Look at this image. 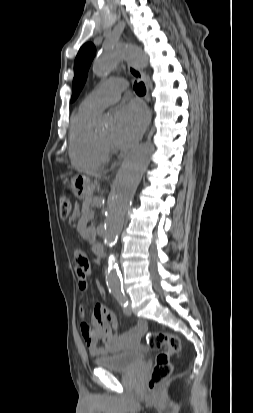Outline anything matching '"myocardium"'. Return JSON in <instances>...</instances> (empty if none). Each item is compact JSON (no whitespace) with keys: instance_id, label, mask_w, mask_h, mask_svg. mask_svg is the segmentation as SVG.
<instances>
[{"instance_id":"myocardium-1","label":"myocardium","mask_w":253,"mask_h":413,"mask_svg":"<svg viewBox=\"0 0 253 413\" xmlns=\"http://www.w3.org/2000/svg\"><path fill=\"white\" fill-rule=\"evenodd\" d=\"M99 141H100V143H101L105 148H107V146H108V144H109L108 141L103 140L102 138H100Z\"/></svg>"}]
</instances>
